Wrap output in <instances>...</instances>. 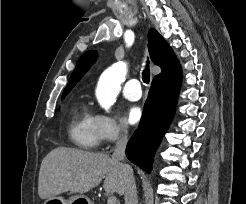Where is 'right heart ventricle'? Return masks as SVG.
<instances>
[{
    "instance_id": "1",
    "label": "right heart ventricle",
    "mask_w": 246,
    "mask_h": 204,
    "mask_svg": "<svg viewBox=\"0 0 246 204\" xmlns=\"http://www.w3.org/2000/svg\"><path fill=\"white\" fill-rule=\"evenodd\" d=\"M68 135L71 142L81 149L93 150L98 147L100 138L96 115L86 105L79 104L72 109Z\"/></svg>"
}]
</instances>
